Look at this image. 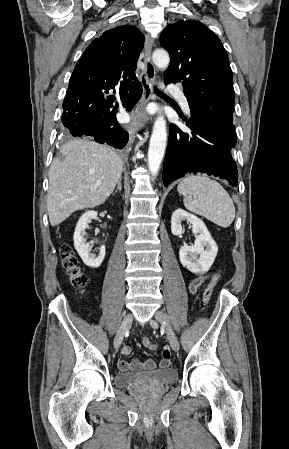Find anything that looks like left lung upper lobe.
I'll list each match as a JSON object with an SVG mask.
<instances>
[{"label": "left lung upper lobe", "instance_id": "5c2ea615", "mask_svg": "<svg viewBox=\"0 0 289 449\" xmlns=\"http://www.w3.org/2000/svg\"><path fill=\"white\" fill-rule=\"evenodd\" d=\"M160 44L170 55L165 82L182 81L191 106L233 122V75L219 38L199 21L179 20L162 31Z\"/></svg>", "mask_w": 289, "mask_h": 449}]
</instances>
